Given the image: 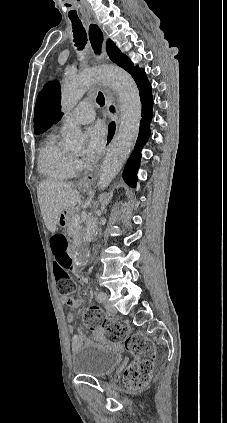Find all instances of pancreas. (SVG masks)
I'll return each mask as SVG.
<instances>
[{
    "label": "pancreas",
    "instance_id": "obj_1",
    "mask_svg": "<svg viewBox=\"0 0 227 423\" xmlns=\"http://www.w3.org/2000/svg\"><path fill=\"white\" fill-rule=\"evenodd\" d=\"M75 213V210H71L69 213V217L67 219V233L70 235V237L77 239V237H80L82 229L81 225H78V223H74V221H72L73 215H75Z\"/></svg>",
    "mask_w": 227,
    "mask_h": 423
}]
</instances>
